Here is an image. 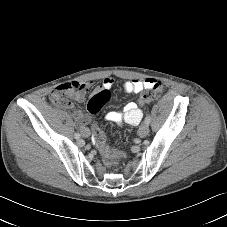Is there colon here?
<instances>
[{
  "mask_svg": "<svg viewBox=\"0 0 227 227\" xmlns=\"http://www.w3.org/2000/svg\"><path fill=\"white\" fill-rule=\"evenodd\" d=\"M76 85H67L59 88L55 93V98H60L65 95L67 91L75 90ZM162 91V84L157 80H152L151 86L146 90L143 95L144 101H151L155 99L160 92ZM111 94L107 89H103L97 92L88 102L87 110L90 114H97L104 105L110 100ZM94 136L98 141V146L101 151H103V155L106 160L114 161L119 158H122L124 155L120 153L118 149H114L113 151L110 149L111 145L109 143L105 144V138L102 131L98 127H94Z\"/></svg>",
  "mask_w": 227,
  "mask_h": 227,
  "instance_id": "1",
  "label": "colon"
}]
</instances>
